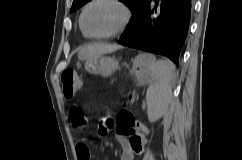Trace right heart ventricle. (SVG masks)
I'll list each match as a JSON object with an SVG mask.
<instances>
[{"label":"right heart ventricle","mask_w":242,"mask_h":160,"mask_svg":"<svg viewBox=\"0 0 242 160\" xmlns=\"http://www.w3.org/2000/svg\"><path fill=\"white\" fill-rule=\"evenodd\" d=\"M81 30H82V29H81ZM82 33H83L84 37H88L83 31H82Z\"/></svg>","instance_id":"right-heart-ventricle-1"}]
</instances>
